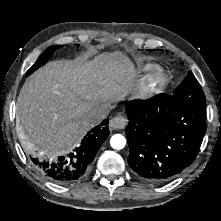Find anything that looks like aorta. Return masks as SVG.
Returning a JSON list of instances; mask_svg holds the SVG:
<instances>
[{
  "label": "aorta",
  "mask_w": 221,
  "mask_h": 221,
  "mask_svg": "<svg viewBox=\"0 0 221 221\" xmlns=\"http://www.w3.org/2000/svg\"><path fill=\"white\" fill-rule=\"evenodd\" d=\"M110 145L116 150L123 149L126 145V139L121 134H114L110 139Z\"/></svg>",
  "instance_id": "1"
}]
</instances>
